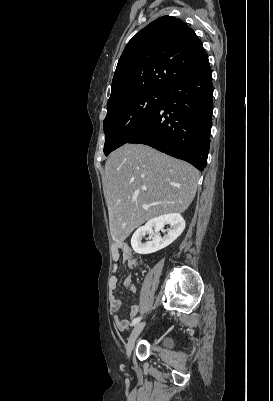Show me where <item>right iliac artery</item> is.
<instances>
[{
  "label": "right iliac artery",
  "instance_id": "1",
  "mask_svg": "<svg viewBox=\"0 0 273 401\" xmlns=\"http://www.w3.org/2000/svg\"><path fill=\"white\" fill-rule=\"evenodd\" d=\"M140 320H141V317L134 318L132 320L131 326H135Z\"/></svg>",
  "mask_w": 273,
  "mask_h": 401
}]
</instances>
